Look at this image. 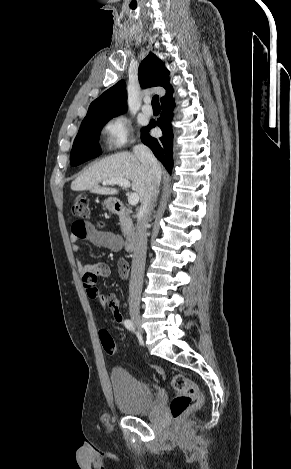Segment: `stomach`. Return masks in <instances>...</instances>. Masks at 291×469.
<instances>
[{
    "instance_id": "0dacf381",
    "label": "stomach",
    "mask_w": 291,
    "mask_h": 469,
    "mask_svg": "<svg viewBox=\"0 0 291 469\" xmlns=\"http://www.w3.org/2000/svg\"><path fill=\"white\" fill-rule=\"evenodd\" d=\"M115 203H116V199L115 198H108L106 199L104 202H103V205L110 211H114L115 210Z\"/></svg>"
}]
</instances>
